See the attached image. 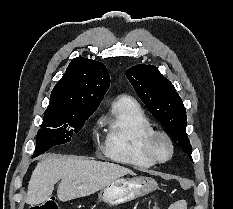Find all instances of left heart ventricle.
<instances>
[{"instance_id": "1", "label": "left heart ventricle", "mask_w": 233, "mask_h": 209, "mask_svg": "<svg viewBox=\"0 0 233 209\" xmlns=\"http://www.w3.org/2000/svg\"><path fill=\"white\" fill-rule=\"evenodd\" d=\"M158 151L160 156L166 157L168 155V146L165 142H160L158 145Z\"/></svg>"}]
</instances>
